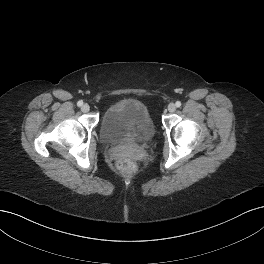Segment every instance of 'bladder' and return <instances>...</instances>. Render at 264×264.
<instances>
[{"mask_svg":"<svg viewBox=\"0 0 264 264\" xmlns=\"http://www.w3.org/2000/svg\"><path fill=\"white\" fill-rule=\"evenodd\" d=\"M155 134L156 127L148 108L133 99L112 104L100 121V137L108 145L148 143Z\"/></svg>","mask_w":264,"mask_h":264,"instance_id":"1","label":"bladder"}]
</instances>
